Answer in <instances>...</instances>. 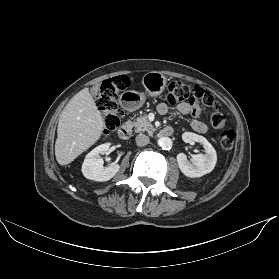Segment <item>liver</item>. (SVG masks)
Listing matches in <instances>:
<instances>
[{
	"instance_id": "liver-1",
	"label": "liver",
	"mask_w": 279,
	"mask_h": 279,
	"mask_svg": "<svg viewBox=\"0 0 279 279\" xmlns=\"http://www.w3.org/2000/svg\"><path fill=\"white\" fill-rule=\"evenodd\" d=\"M105 127L89 89L78 92L60 114L55 143V156L60 165H67L95 144Z\"/></svg>"
}]
</instances>
